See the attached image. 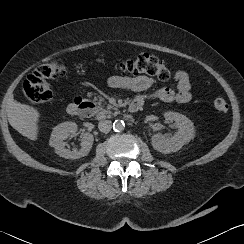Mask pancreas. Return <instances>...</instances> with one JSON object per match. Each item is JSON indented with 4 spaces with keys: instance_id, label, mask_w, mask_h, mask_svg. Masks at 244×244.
<instances>
[{
    "instance_id": "obj_1",
    "label": "pancreas",
    "mask_w": 244,
    "mask_h": 244,
    "mask_svg": "<svg viewBox=\"0 0 244 244\" xmlns=\"http://www.w3.org/2000/svg\"><path fill=\"white\" fill-rule=\"evenodd\" d=\"M112 108V107H110ZM107 113H109V109L106 108V109H102L99 113H98V116H104L106 115Z\"/></svg>"
}]
</instances>
